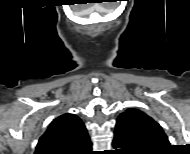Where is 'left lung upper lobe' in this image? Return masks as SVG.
Here are the masks:
<instances>
[{"label":"left lung upper lobe","instance_id":"obj_1","mask_svg":"<svg viewBox=\"0 0 190 154\" xmlns=\"http://www.w3.org/2000/svg\"><path fill=\"white\" fill-rule=\"evenodd\" d=\"M117 120L126 121L132 133L143 143L156 150L169 146L162 127L150 116L138 109H127Z\"/></svg>","mask_w":190,"mask_h":154}]
</instances>
